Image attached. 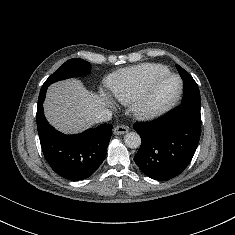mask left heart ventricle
Segmentation results:
<instances>
[{"label":"left heart ventricle","instance_id":"1","mask_svg":"<svg viewBox=\"0 0 235 235\" xmlns=\"http://www.w3.org/2000/svg\"><path fill=\"white\" fill-rule=\"evenodd\" d=\"M178 90V81L168 78L158 82L151 93L149 104L151 106H160L174 97Z\"/></svg>","mask_w":235,"mask_h":235}]
</instances>
